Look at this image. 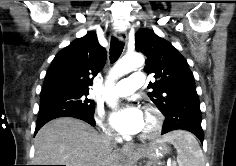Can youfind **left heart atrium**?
I'll return each mask as SVG.
<instances>
[{"mask_svg":"<svg viewBox=\"0 0 236 166\" xmlns=\"http://www.w3.org/2000/svg\"><path fill=\"white\" fill-rule=\"evenodd\" d=\"M112 126L121 134L134 135L140 133L145 125L142 110L135 105H127L111 113Z\"/></svg>","mask_w":236,"mask_h":166,"instance_id":"1","label":"left heart atrium"}]
</instances>
